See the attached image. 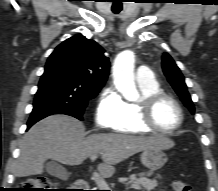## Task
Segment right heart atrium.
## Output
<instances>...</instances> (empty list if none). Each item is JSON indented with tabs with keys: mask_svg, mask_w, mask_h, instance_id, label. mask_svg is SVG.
<instances>
[{
	"mask_svg": "<svg viewBox=\"0 0 218 191\" xmlns=\"http://www.w3.org/2000/svg\"><path fill=\"white\" fill-rule=\"evenodd\" d=\"M123 101L116 90L109 87L102 93L94 112L96 125L101 129H113L120 117Z\"/></svg>",
	"mask_w": 218,
	"mask_h": 191,
	"instance_id": "1",
	"label": "right heart atrium"
}]
</instances>
